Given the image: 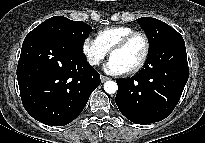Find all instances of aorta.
Masks as SVG:
<instances>
[{
    "label": "aorta",
    "instance_id": "aorta-1",
    "mask_svg": "<svg viewBox=\"0 0 205 143\" xmlns=\"http://www.w3.org/2000/svg\"><path fill=\"white\" fill-rule=\"evenodd\" d=\"M104 90L108 94H113L118 90V85L115 81H106L104 83Z\"/></svg>",
    "mask_w": 205,
    "mask_h": 143
}]
</instances>
